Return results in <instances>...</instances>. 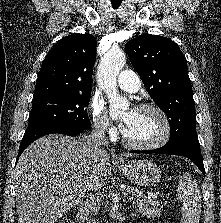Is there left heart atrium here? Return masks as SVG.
Wrapping results in <instances>:
<instances>
[{"instance_id": "1", "label": "left heart atrium", "mask_w": 221, "mask_h": 223, "mask_svg": "<svg viewBox=\"0 0 221 223\" xmlns=\"http://www.w3.org/2000/svg\"><path fill=\"white\" fill-rule=\"evenodd\" d=\"M133 114H134V110L131 109L127 112V117L125 119H122L120 126L123 131L126 129L128 125V121L132 117Z\"/></svg>"}]
</instances>
